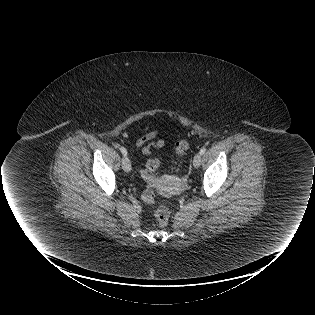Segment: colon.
<instances>
[{
  "mask_svg": "<svg viewBox=\"0 0 315 315\" xmlns=\"http://www.w3.org/2000/svg\"><path fill=\"white\" fill-rule=\"evenodd\" d=\"M189 149L190 145L186 140L178 141L174 147L175 153L179 156L188 154ZM160 165L159 159L152 158L147 162L146 169L143 172L146 188L142 192L141 199L148 205H152L155 202V195L151 187L154 183V174L158 171ZM154 216L160 226H165L168 223L170 211L167 207L161 206L154 210Z\"/></svg>",
  "mask_w": 315,
  "mask_h": 315,
  "instance_id": "5ec220e1",
  "label": "colon"
}]
</instances>
